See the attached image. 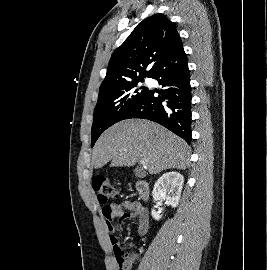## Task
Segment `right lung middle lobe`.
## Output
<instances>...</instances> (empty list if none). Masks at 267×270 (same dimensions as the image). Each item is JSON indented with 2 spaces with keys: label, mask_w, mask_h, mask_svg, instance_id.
<instances>
[{
  "label": "right lung middle lobe",
  "mask_w": 267,
  "mask_h": 270,
  "mask_svg": "<svg viewBox=\"0 0 267 270\" xmlns=\"http://www.w3.org/2000/svg\"><path fill=\"white\" fill-rule=\"evenodd\" d=\"M143 78L127 81L99 91L91 129V146L110 126L121 121L146 95L148 88L137 87Z\"/></svg>",
  "instance_id": "right-lung-middle-lobe-1"
}]
</instances>
